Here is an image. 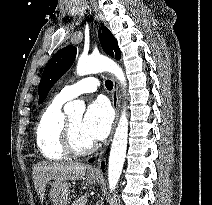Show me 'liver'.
Here are the masks:
<instances>
[{"instance_id": "obj_1", "label": "liver", "mask_w": 212, "mask_h": 205, "mask_svg": "<svg viewBox=\"0 0 212 205\" xmlns=\"http://www.w3.org/2000/svg\"><path fill=\"white\" fill-rule=\"evenodd\" d=\"M87 169L86 165L78 163H38L33 168V178L40 201L43 202L48 181H77L85 176Z\"/></svg>"}]
</instances>
